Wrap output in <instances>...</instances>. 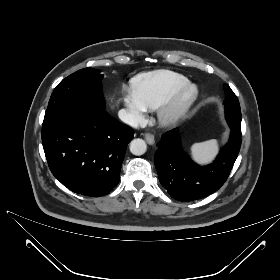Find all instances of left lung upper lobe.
Wrapping results in <instances>:
<instances>
[{"label":"left lung upper lobe","instance_id":"obj_1","mask_svg":"<svg viewBox=\"0 0 280 280\" xmlns=\"http://www.w3.org/2000/svg\"><path fill=\"white\" fill-rule=\"evenodd\" d=\"M224 89L226 98L223 103L226 108V120L231 128L241 133V109L238 98L228 85L225 84Z\"/></svg>","mask_w":280,"mask_h":280}]
</instances>
